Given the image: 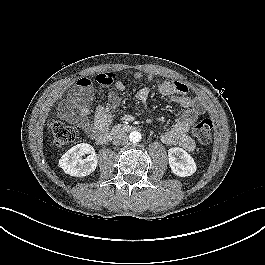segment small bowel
<instances>
[{"label":"small bowel","mask_w":265,"mask_h":265,"mask_svg":"<svg viewBox=\"0 0 265 265\" xmlns=\"http://www.w3.org/2000/svg\"><path fill=\"white\" fill-rule=\"evenodd\" d=\"M134 78L140 80L143 78V74L136 72ZM145 78L147 82L154 81L153 74H148ZM99 82L101 84H113L119 91L125 89L124 82L115 74L103 76ZM158 92L185 109L177 121L162 133V141L169 145H179L189 152L193 151L195 142L188 135V131L190 125L204 113L203 103L200 99L187 95V87L178 81L161 82L158 85ZM149 96L150 89L148 87H142L136 93V99L140 102L146 101ZM92 98V81L87 77H82L77 80L60 104L62 116L81 127L89 136L109 127L111 123L110 111L119 103V98L114 92L109 94L106 105H100L96 108L91 107Z\"/></svg>","instance_id":"small-bowel-1"}]
</instances>
